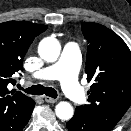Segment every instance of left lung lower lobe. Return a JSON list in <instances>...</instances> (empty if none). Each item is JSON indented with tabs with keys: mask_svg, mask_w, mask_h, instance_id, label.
Listing matches in <instances>:
<instances>
[{
	"mask_svg": "<svg viewBox=\"0 0 131 131\" xmlns=\"http://www.w3.org/2000/svg\"><path fill=\"white\" fill-rule=\"evenodd\" d=\"M69 131H108L89 114L76 108L73 118L67 122Z\"/></svg>",
	"mask_w": 131,
	"mask_h": 131,
	"instance_id": "left-lung-lower-lobe-1",
	"label": "left lung lower lobe"
}]
</instances>
